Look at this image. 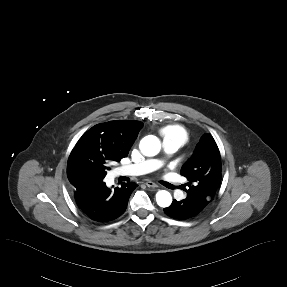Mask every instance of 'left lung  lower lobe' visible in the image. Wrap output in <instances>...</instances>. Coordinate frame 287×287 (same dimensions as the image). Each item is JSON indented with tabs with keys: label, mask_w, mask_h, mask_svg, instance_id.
<instances>
[{
	"label": "left lung lower lobe",
	"mask_w": 287,
	"mask_h": 287,
	"mask_svg": "<svg viewBox=\"0 0 287 287\" xmlns=\"http://www.w3.org/2000/svg\"><path fill=\"white\" fill-rule=\"evenodd\" d=\"M205 207L189 197L181 201L173 200L172 204L164 208L165 213L174 219H189L198 215Z\"/></svg>",
	"instance_id": "obj_1"
}]
</instances>
